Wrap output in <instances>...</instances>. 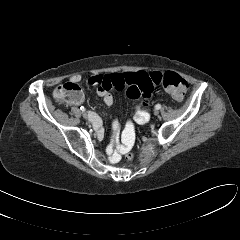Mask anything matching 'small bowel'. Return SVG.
<instances>
[{
	"instance_id": "1",
	"label": "small bowel",
	"mask_w": 240,
	"mask_h": 240,
	"mask_svg": "<svg viewBox=\"0 0 240 240\" xmlns=\"http://www.w3.org/2000/svg\"><path fill=\"white\" fill-rule=\"evenodd\" d=\"M82 77L79 74L71 76L70 82L79 83ZM87 83L90 85H96L97 94L101 97L104 103L108 106L113 104L114 98L112 91H121L125 87L128 97L131 99L142 98L141 106H138L134 112V121L138 124H145L150 119V113L147 110L150 98L155 92L157 85H155L151 79V75L147 72H125V73H112L106 75H96L87 79ZM84 100L82 96L80 99L71 101L70 103L78 106ZM90 120L93 126L96 128L98 134L103 135V127L101 118L94 112L90 113ZM120 119L118 115H115L113 120V135L117 139L119 136ZM133 133V124L128 122L126 125L125 133ZM124 151V148L121 149Z\"/></svg>"
}]
</instances>
